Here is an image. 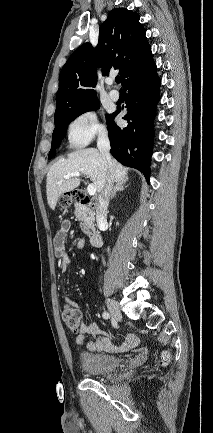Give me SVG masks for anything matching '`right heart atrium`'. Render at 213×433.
<instances>
[{
    "instance_id": "obj_1",
    "label": "right heart atrium",
    "mask_w": 213,
    "mask_h": 433,
    "mask_svg": "<svg viewBox=\"0 0 213 433\" xmlns=\"http://www.w3.org/2000/svg\"><path fill=\"white\" fill-rule=\"evenodd\" d=\"M105 127L93 111H85L74 118L68 126V139L73 146H83L96 136H104Z\"/></svg>"
}]
</instances>
